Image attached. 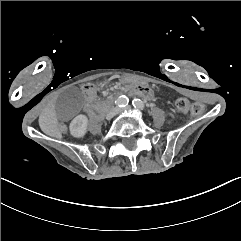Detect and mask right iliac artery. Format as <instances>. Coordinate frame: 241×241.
I'll use <instances>...</instances> for the list:
<instances>
[{
	"label": "right iliac artery",
	"instance_id": "right-iliac-artery-1",
	"mask_svg": "<svg viewBox=\"0 0 241 241\" xmlns=\"http://www.w3.org/2000/svg\"><path fill=\"white\" fill-rule=\"evenodd\" d=\"M129 99L122 95L120 96L116 101H115V105L117 107H125L126 105H128Z\"/></svg>",
	"mask_w": 241,
	"mask_h": 241
}]
</instances>
